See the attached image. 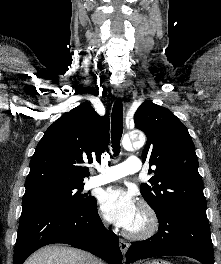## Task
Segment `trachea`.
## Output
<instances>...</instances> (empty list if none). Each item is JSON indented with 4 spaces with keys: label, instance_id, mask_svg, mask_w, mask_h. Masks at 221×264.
Segmentation results:
<instances>
[{
    "label": "trachea",
    "instance_id": "3493384b",
    "mask_svg": "<svg viewBox=\"0 0 221 264\" xmlns=\"http://www.w3.org/2000/svg\"><path fill=\"white\" fill-rule=\"evenodd\" d=\"M123 133V105L121 100H117L112 109L111 116V140L114 156L120 153V140Z\"/></svg>",
    "mask_w": 221,
    "mask_h": 264
}]
</instances>
